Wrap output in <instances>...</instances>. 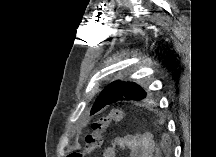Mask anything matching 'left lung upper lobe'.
I'll list each match as a JSON object with an SVG mask.
<instances>
[{
    "instance_id": "obj_1",
    "label": "left lung upper lobe",
    "mask_w": 216,
    "mask_h": 157,
    "mask_svg": "<svg viewBox=\"0 0 216 157\" xmlns=\"http://www.w3.org/2000/svg\"><path fill=\"white\" fill-rule=\"evenodd\" d=\"M148 97L149 94L139 84L117 80L110 83L100 93L95 102L104 108L118 101H143ZM95 109V107H92L91 113H93Z\"/></svg>"
}]
</instances>
